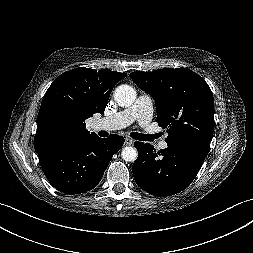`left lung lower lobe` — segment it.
<instances>
[{"mask_svg": "<svg viewBox=\"0 0 253 253\" xmlns=\"http://www.w3.org/2000/svg\"><path fill=\"white\" fill-rule=\"evenodd\" d=\"M138 158L132 171L137 185L155 196H170L184 190L195 178L210 145L188 143L156 152L151 144L134 143Z\"/></svg>", "mask_w": 253, "mask_h": 253, "instance_id": "obj_1", "label": "left lung lower lobe"}]
</instances>
